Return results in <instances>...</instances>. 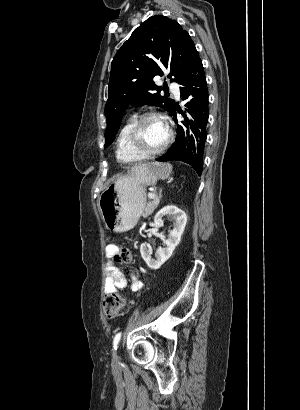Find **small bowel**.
<instances>
[{
  "instance_id": "obj_1",
  "label": "small bowel",
  "mask_w": 300,
  "mask_h": 410,
  "mask_svg": "<svg viewBox=\"0 0 300 410\" xmlns=\"http://www.w3.org/2000/svg\"><path fill=\"white\" fill-rule=\"evenodd\" d=\"M118 246L114 243L106 246L105 284L104 291L117 292L129 288L133 292L141 291L144 283L133 274L123 273L114 263V255Z\"/></svg>"
}]
</instances>
